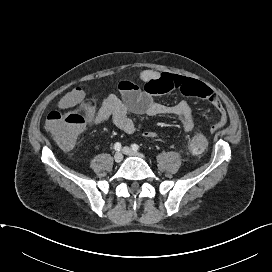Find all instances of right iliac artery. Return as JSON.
Masks as SVG:
<instances>
[{"label":"right iliac artery","mask_w":272,"mask_h":272,"mask_svg":"<svg viewBox=\"0 0 272 272\" xmlns=\"http://www.w3.org/2000/svg\"><path fill=\"white\" fill-rule=\"evenodd\" d=\"M114 149H115L116 151H120V150H121V143H119V142L115 143Z\"/></svg>","instance_id":"1"}]
</instances>
